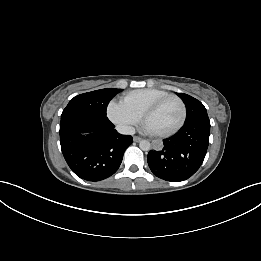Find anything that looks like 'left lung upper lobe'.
<instances>
[{"label":"left lung upper lobe","instance_id":"1","mask_svg":"<svg viewBox=\"0 0 261 261\" xmlns=\"http://www.w3.org/2000/svg\"><path fill=\"white\" fill-rule=\"evenodd\" d=\"M179 96L186 105L187 116L184 124L201 119H209L206 108L200 101L184 93H179Z\"/></svg>","mask_w":261,"mask_h":261}]
</instances>
